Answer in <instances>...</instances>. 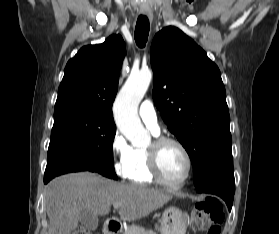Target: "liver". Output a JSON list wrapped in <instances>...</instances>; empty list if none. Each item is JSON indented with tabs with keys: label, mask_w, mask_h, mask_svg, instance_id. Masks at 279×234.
Returning <instances> with one entry per match:
<instances>
[{
	"label": "liver",
	"mask_w": 279,
	"mask_h": 234,
	"mask_svg": "<svg viewBox=\"0 0 279 234\" xmlns=\"http://www.w3.org/2000/svg\"><path fill=\"white\" fill-rule=\"evenodd\" d=\"M171 198L163 191L122 184L90 172L63 175L53 179L45 191L48 234H71L83 210L103 216L114 203H121L120 217L135 221L162 207Z\"/></svg>",
	"instance_id": "1"
}]
</instances>
